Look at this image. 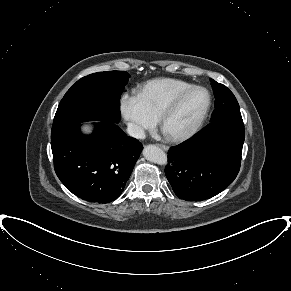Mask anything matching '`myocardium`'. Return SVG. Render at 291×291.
<instances>
[{
	"label": "myocardium",
	"instance_id": "obj_1",
	"mask_svg": "<svg viewBox=\"0 0 291 291\" xmlns=\"http://www.w3.org/2000/svg\"><path fill=\"white\" fill-rule=\"evenodd\" d=\"M196 90H203L206 92L208 100L206 107L204 108L203 112L199 116L198 120L195 124L186 132L180 134H167L164 130L165 123L167 119L171 116V114L178 108L181 102L188 96L190 93ZM212 106V95L211 92L204 86L193 85L175 95L170 102L164 107L161 111L160 115L158 116V124L161 132L163 135L172 142H182L185 141L192 136H194L203 126Z\"/></svg>",
	"mask_w": 291,
	"mask_h": 291
}]
</instances>
